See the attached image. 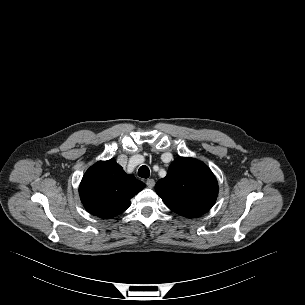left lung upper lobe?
I'll list each match as a JSON object with an SVG mask.
<instances>
[{
    "label": "left lung upper lobe",
    "instance_id": "5c2ea615",
    "mask_svg": "<svg viewBox=\"0 0 305 305\" xmlns=\"http://www.w3.org/2000/svg\"><path fill=\"white\" fill-rule=\"evenodd\" d=\"M155 190L169 209L184 217L195 218L214 205L218 184L203 162L179 157L169 166L166 177L156 183Z\"/></svg>",
    "mask_w": 305,
    "mask_h": 305
}]
</instances>
